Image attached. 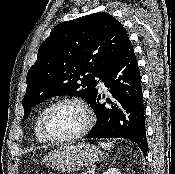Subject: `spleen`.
Returning a JSON list of instances; mask_svg holds the SVG:
<instances>
[{
	"label": "spleen",
	"mask_w": 175,
	"mask_h": 174,
	"mask_svg": "<svg viewBox=\"0 0 175 174\" xmlns=\"http://www.w3.org/2000/svg\"><path fill=\"white\" fill-rule=\"evenodd\" d=\"M101 147L105 148V149H110L111 147H113V143L112 142H101L100 143Z\"/></svg>",
	"instance_id": "spleen-1"
}]
</instances>
